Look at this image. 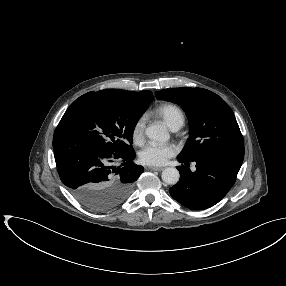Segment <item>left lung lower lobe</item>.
I'll use <instances>...</instances> for the list:
<instances>
[{"instance_id":"1","label":"left lung lower lobe","mask_w":286,"mask_h":286,"mask_svg":"<svg viewBox=\"0 0 286 286\" xmlns=\"http://www.w3.org/2000/svg\"><path fill=\"white\" fill-rule=\"evenodd\" d=\"M189 165L188 160L178 157ZM196 171L178 166L179 182L169 189L173 199L192 210L207 209L218 203L235 183L242 162L223 156H201L195 160Z\"/></svg>"}]
</instances>
